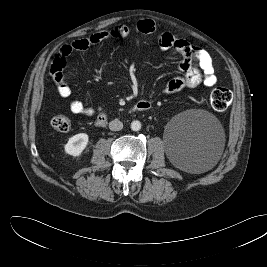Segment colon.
<instances>
[{
    "label": "colon",
    "mask_w": 267,
    "mask_h": 267,
    "mask_svg": "<svg viewBox=\"0 0 267 267\" xmlns=\"http://www.w3.org/2000/svg\"><path fill=\"white\" fill-rule=\"evenodd\" d=\"M210 104L212 108L219 113L225 112L231 102L232 94L230 90L226 88H215L210 94ZM51 125L54 129L60 132H66L70 129L71 123L70 120L63 115H57L52 118Z\"/></svg>",
    "instance_id": "obj_1"
}]
</instances>
